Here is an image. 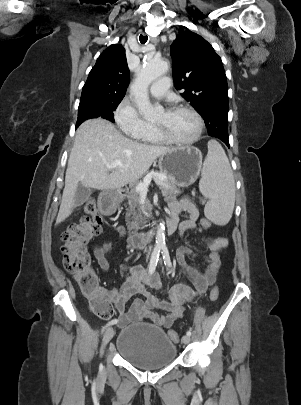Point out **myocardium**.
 <instances>
[{
  "label": "myocardium",
  "instance_id": "1",
  "mask_svg": "<svg viewBox=\"0 0 301 405\" xmlns=\"http://www.w3.org/2000/svg\"><path fill=\"white\" fill-rule=\"evenodd\" d=\"M172 110H181V111H187L191 113L194 118L196 119L197 122V130L194 134L189 139H179L176 138L172 135H170L162 126L158 124H153V128L155 132L166 142L173 143V144H178V145H190L195 143L202 135L203 128H204V122L202 119V116L192 107L188 105H178L174 107Z\"/></svg>",
  "mask_w": 301,
  "mask_h": 405
}]
</instances>
